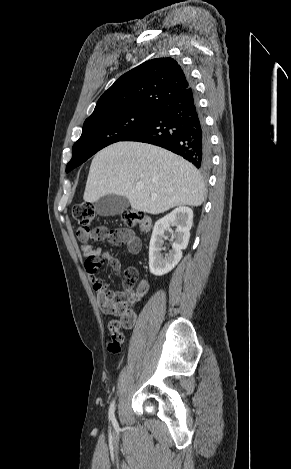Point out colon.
<instances>
[{"mask_svg": "<svg viewBox=\"0 0 291 469\" xmlns=\"http://www.w3.org/2000/svg\"><path fill=\"white\" fill-rule=\"evenodd\" d=\"M72 216L80 225L79 230L83 231L89 240L101 241H121L126 233V230H111L105 226H98L92 228L96 213L93 204L83 202L75 205L72 210ZM123 223L127 227L138 226L142 232H148L151 228V219L144 212L137 210H127L122 213ZM103 265L100 258H91L87 260V269L90 272H96ZM138 281V272L135 268H128L123 274L124 289L113 295L112 301L114 307L111 314L117 316L109 323V330L111 336L108 340V351L118 353L121 350L123 343V335L120 332L121 328L129 329L133 327L136 320L134 311L135 303L140 299L143 292L139 288H135ZM94 288L104 291L107 287L102 283H96Z\"/></svg>", "mask_w": 291, "mask_h": 469, "instance_id": "obj_1", "label": "colon"}]
</instances>
